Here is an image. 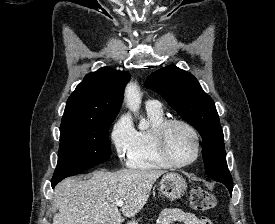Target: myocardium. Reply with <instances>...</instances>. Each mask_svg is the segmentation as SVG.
I'll use <instances>...</instances> for the list:
<instances>
[{
  "mask_svg": "<svg viewBox=\"0 0 275 224\" xmlns=\"http://www.w3.org/2000/svg\"><path fill=\"white\" fill-rule=\"evenodd\" d=\"M173 125H181L185 127L193 136L195 143V152L193 157L189 161L182 163L176 162L168 153L166 146V135L169 128ZM153 144L156 153L161 161L173 168H185L192 165L199 158L201 152V143L198 131L191 123L179 118L165 119L162 123H160L153 132Z\"/></svg>",
  "mask_w": 275,
  "mask_h": 224,
  "instance_id": "obj_1",
  "label": "myocardium"
}]
</instances>
